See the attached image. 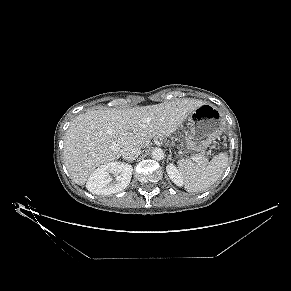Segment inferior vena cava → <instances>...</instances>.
Here are the masks:
<instances>
[{
  "label": "inferior vena cava",
  "instance_id": "1",
  "mask_svg": "<svg viewBox=\"0 0 291 291\" xmlns=\"http://www.w3.org/2000/svg\"><path fill=\"white\" fill-rule=\"evenodd\" d=\"M141 153V149L135 145H126L122 148V156L125 160L131 162L135 160Z\"/></svg>",
  "mask_w": 291,
  "mask_h": 291
}]
</instances>
